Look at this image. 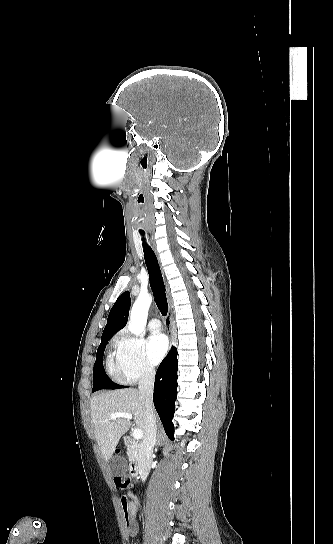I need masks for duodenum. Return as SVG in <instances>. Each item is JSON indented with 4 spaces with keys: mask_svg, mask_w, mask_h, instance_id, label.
<instances>
[{
    "mask_svg": "<svg viewBox=\"0 0 333 544\" xmlns=\"http://www.w3.org/2000/svg\"><path fill=\"white\" fill-rule=\"evenodd\" d=\"M124 443L133 457L129 469L130 475L136 479L144 477L148 470L149 463L142 455L141 446L128 436L124 437Z\"/></svg>",
    "mask_w": 333,
    "mask_h": 544,
    "instance_id": "obj_1",
    "label": "duodenum"
}]
</instances>
